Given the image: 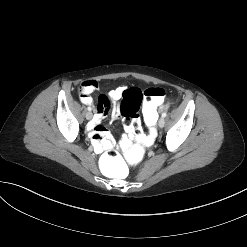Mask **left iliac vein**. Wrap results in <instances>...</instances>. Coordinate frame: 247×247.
Listing matches in <instances>:
<instances>
[{"label":"left iliac vein","mask_w":247,"mask_h":247,"mask_svg":"<svg viewBox=\"0 0 247 247\" xmlns=\"http://www.w3.org/2000/svg\"><path fill=\"white\" fill-rule=\"evenodd\" d=\"M164 125H165V119H164L163 117H161V118L159 119V121H158V126H159L160 128H163Z\"/></svg>","instance_id":"4c4485c4"}]
</instances>
